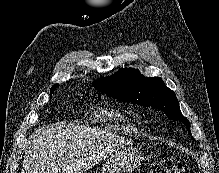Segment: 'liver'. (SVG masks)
Masks as SVG:
<instances>
[{
	"mask_svg": "<svg viewBox=\"0 0 219 173\" xmlns=\"http://www.w3.org/2000/svg\"><path fill=\"white\" fill-rule=\"evenodd\" d=\"M126 142L98 128L58 122L34 131L21 173H83Z\"/></svg>",
	"mask_w": 219,
	"mask_h": 173,
	"instance_id": "obj_1",
	"label": "liver"
}]
</instances>
